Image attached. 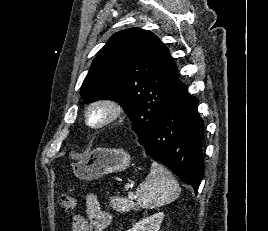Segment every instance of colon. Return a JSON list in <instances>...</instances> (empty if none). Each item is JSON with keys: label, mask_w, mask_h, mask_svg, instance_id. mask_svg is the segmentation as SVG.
Instances as JSON below:
<instances>
[{"label": "colon", "mask_w": 268, "mask_h": 231, "mask_svg": "<svg viewBox=\"0 0 268 231\" xmlns=\"http://www.w3.org/2000/svg\"><path fill=\"white\" fill-rule=\"evenodd\" d=\"M77 206V200L74 196L63 194L60 197V208L64 213H72Z\"/></svg>", "instance_id": "obj_1"}]
</instances>
